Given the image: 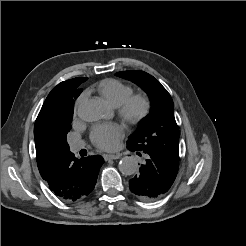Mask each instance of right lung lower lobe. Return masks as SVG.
I'll list each match as a JSON object with an SVG mask.
<instances>
[{"mask_svg": "<svg viewBox=\"0 0 246 246\" xmlns=\"http://www.w3.org/2000/svg\"><path fill=\"white\" fill-rule=\"evenodd\" d=\"M104 159L100 155L78 160L73 153L62 158L43 179L61 200L75 202L85 198L94 188Z\"/></svg>", "mask_w": 246, "mask_h": 246, "instance_id": "obj_1", "label": "right lung lower lobe"}]
</instances>
